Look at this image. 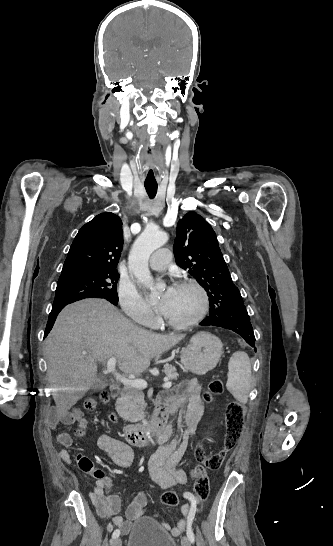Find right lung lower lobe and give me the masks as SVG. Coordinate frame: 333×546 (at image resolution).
Segmentation results:
<instances>
[{"label":"right lung lower lobe","mask_w":333,"mask_h":546,"mask_svg":"<svg viewBox=\"0 0 333 546\" xmlns=\"http://www.w3.org/2000/svg\"><path fill=\"white\" fill-rule=\"evenodd\" d=\"M107 300L110 301L112 304L117 305V302H118V301H115V300H112V299H107ZM66 305H67V304H62V305H56V306H53V307H52V311H51L50 314H49L48 323H47V326H46V329H45V337L48 335V333H49L50 330L52 329L53 324H54V322H55V319H56L57 315L59 314V312H60Z\"/></svg>","instance_id":"right-lung-lower-lobe-1"}]
</instances>
